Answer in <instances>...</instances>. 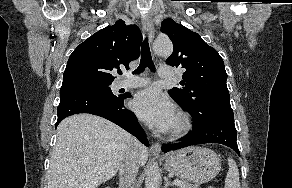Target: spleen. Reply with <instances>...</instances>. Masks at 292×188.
Wrapping results in <instances>:
<instances>
[{
    "mask_svg": "<svg viewBox=\"0 0 292 188\" xmlns=\"http://www.w3.org/2000/svg\"><path fill=\"white\" fill-rule=\"evenodd\" d=\"M229 170L225 178V188H240L239 172L236 162L228 158Z\"/></svg>",
    "mask_w": 292,
    "mask_h": 188,
    "instance_id": "obj_1",
    "label": "spleen"
}]
</instances>
